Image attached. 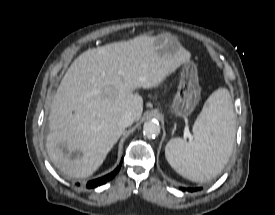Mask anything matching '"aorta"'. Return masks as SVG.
Instances as JSON below:
<instances>
[{"mask_svg": "<svg viewBox=\"0 0 275 215\" xmlns=\"http://www.w3.org/2000/svg\"><path fill=\"white\" fill-rule=\"evenodd\" d=\"M143 132L147 137L157 136L160 133V125L157 121H147L144 123Z\"/></svg>", "mask_w": 275, "mask_h": 215, "instance_id": "obj_1", "label": "aorta"}]
</instances>
